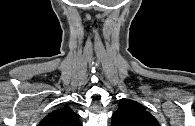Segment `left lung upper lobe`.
Returning a JSON list of instances; mask_svg holds the SVG:
<instances>
[{
	"label": "left lung upper lobe",
	"mask_w": 195,
	"mask_h": 126,
	"mask_svg": "<svg viewBox=\"0 0 195 126\" xmlns=\"http://www.w3.org/2000/svg\"><path fill=\"white\" fill-rule=\"evenodd\" d=\"M112 126H160L157 119L136 101L122 98L112 115Z\"/></svg>",
	"instance_id": "1"
}]
</instances>
